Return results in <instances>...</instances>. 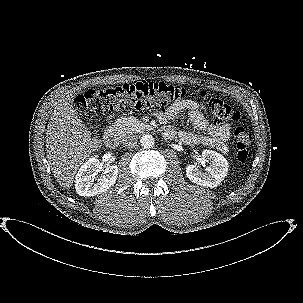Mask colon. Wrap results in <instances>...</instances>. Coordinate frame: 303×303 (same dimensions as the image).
I'll return each instance as SVG.
<instances>
[{
  "instance_id": "colon-1",
  "label": "colon",
  "mask_w": 303,
  "mask_h": 303,
  "mask_svg": "<svg viewBox=\"0 0 303 303\" xmlns=\"http://www.w3.org/2000/svg\"><path fill=\"white\" fill-rule=\"evenodd\" d=\"M186 94V90L178 85L137 82L87 90L76 97L74 106L85 120L93 125L102 116L115 111L163 109L182 100ZM199 95L205 99L211 114L218 121L236 122L240 119V113L224 101L208 96L205 91H200ZM234 140L237 159L244 162L249 154L252 136L246 129L238 127L234 130Z\"/></svg>"
}]
</instances>
